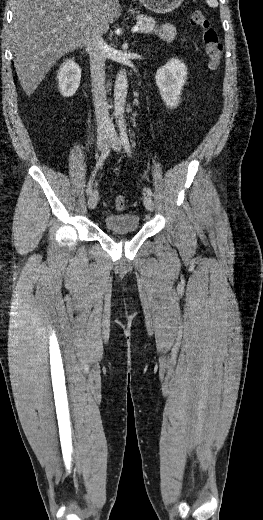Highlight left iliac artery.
Here are the masks:
<instances>
[{"instance_id": "44dca946", "label": "left iliac artery", "mask_w": 263, "mask_h": 520, "mask_svg": "<svg viewBox=\"0 0 263 520\" xmlns=\"http://www.w3.org/2000/svg\"><path fill=\"white\" fill-rule=\"evenodd\" d=\"M119 130H120V137H121L122 144H123V147L125 149V152L129 156H131V148H130V143H129V140H128L126 125H125L124 120H120L119 121ZM146 193L150 197L153 196V193H152L150 188L146 189Z\"/></svg>"}]
</instances>
